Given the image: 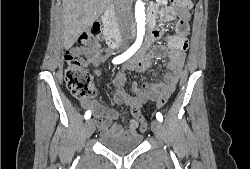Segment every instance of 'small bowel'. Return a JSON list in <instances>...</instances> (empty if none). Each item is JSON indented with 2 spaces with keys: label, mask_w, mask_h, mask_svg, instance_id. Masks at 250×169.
I'll return each instance as SVG.
<instances>
[{
  "label": "small bowel",
  "mask_w": 250,
  "mask_h": 169,
  "mask_svg": "<svg viewBox=\"0 0 250 169\" xmlns=\"http://www.w3.org/2000/svg\"><path fill=\"white\" fill-rule=\"evenodd\" d=\"M164 13L165 10L163 9L161 14ZM176 14L178 16V21L184 20L187 22L190 19L189 7L177 6ZM157 16V10L151 11L148 16V22L152 23ZM184 34L185 33H181L176 37L169 47L158 46L148 52H146V50L150 43H146L144 48L138 51L134 57L125 64L124 69L143 72L146 71L156 59H164L166 64L162 73L156 82H143L141 85L133 83V95H129L124 88L126 80L125 73L124 71L118 72L112 80V86L115 89L113 102L117 105L128 107L130 112V103L145 104L148 101H155L150 100L149 96L157 95L158 91L172 89L174 92L176 84L182 75V69L186 57L187 40L185 39ZM73 54L79 59L83 66H87L88 64L98 66L104 61V55L96 45L92 48L77 47L73 49ZM95 73L96 75H99L98 71ZM81 105L83 108L93 112L94 118L98 123L102 134H107L108 132L134 133L139 122V120H135V115H131L130 121L125 126L117 125L114 123L119 116L116 110L105 107L101 103L90 99H81Z\"/></svg>",
  "instance_id": "1"
}]
</instances>
